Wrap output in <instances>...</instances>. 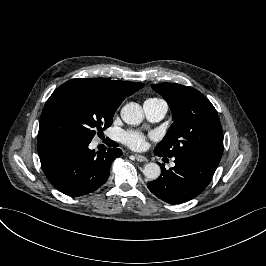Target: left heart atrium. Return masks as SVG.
<instances>
[{
	"label": "left heart atrium",
	"mask_w": 266,
	"mask_h": 266,
	"mask_svg": "<svg viewBox=\"0 0 266 266\" xmlns=\"http://www.w3.org/2000/svg\"><path fill=\"white\" fill-rule=\"evenodd\" d=\"M120 140L132 149H142L146 145L145 136L139 132L121 131Z\"/></svg>",
	"instance_id": "obj_1"
}]
</instances>
